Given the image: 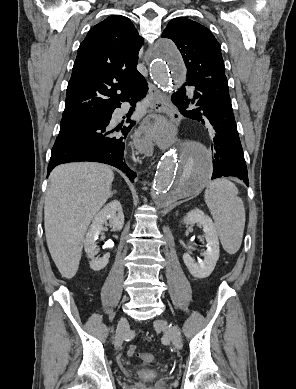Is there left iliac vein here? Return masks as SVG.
Instances as JSON below:
<instances>
[{
	"instance_id": "left-iliac-vein-1",
	"label": "left iliac vein",
	"mask_w": 296,
	"mask_h": 389,
	"mask_svg": "<svg viewBox=\"0 0 296 389\" xmlns=\"http://www.w3.org/2000/svg\"><path fill=\"white\" fill-rule=\"evenodd\" d=\"M156 328H159L163 331L167 339H169L176 349L180 350L182 348V339L178 332L169 326L168 322L163 319H157L154 322Z\"/></svg>"
}]
</instances>
